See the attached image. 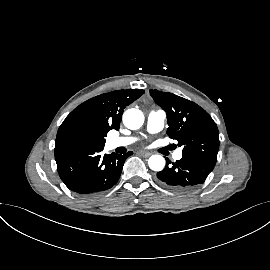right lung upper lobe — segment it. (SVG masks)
I'll list each match as a JSON object with an SVG mask.
<instances>
[{
	"label": "right lung upper lobe",
	"mask_w": 270,
	"mask_h": 270,
	"mask_svg": "<svg viewBox=\"0 0 270 270\" xmlns=\"http://www.w3.org/2000/svg\"><path fill=\"white\" fill-rule=\"evenodd\" d=\"M144 90H117L93 97L76 107L63 121L59 130L83 124L101 136L108 131L119 129L123 111L126 106L138 99Z\"/></svg>",
	"instance_id": "cb5924a9"
}]
</instances>
